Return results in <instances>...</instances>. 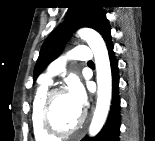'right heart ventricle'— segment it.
Instances as JSON below:
<instances>
[{
  "mask_svg": "<svg viewBox=\"0 0 155 141\" xmlns=\"http://www.w3.org/2000/svg\"><path fill=\"white\" fill-rule=\"evenodd\" d=\"M48 91V83L43 82L37 89L32 104L31 124L34 137L37 141H51L55 137L46 133L40 123V107L45 94Z\"/></svg>",
  "mask_w": 155,
  "mask_h": 141,
  "instance_id": "1",
  "label": "right heart ventricle"
}]
</instances>
